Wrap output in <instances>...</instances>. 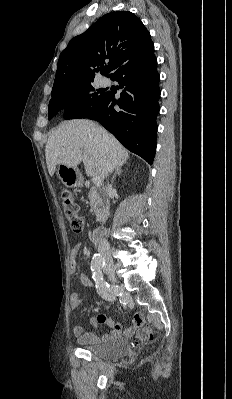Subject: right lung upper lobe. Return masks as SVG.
I'll use <instances>...</instances> for the list:
<instances>
[{
    "mask_svg": "<svg viewBox=\"0 0 232 399\" xmlns=\"http://www.w3.org/2000/svg\"><path fill=\"white\" fill-rule=\"evenodd\" d=\"M153 52L150 33L136 15L110 12L71 39L62 51L51 95L92 82L98 71L110 78L121 67ZM106 59L110 61L105 66Z\"/></svg>",
    "mask_w": 232,
    "mask_h": 399,
    "instance_id": "cb5924a9",
    "label": "right lung upper lobe"
}]
</instances>
